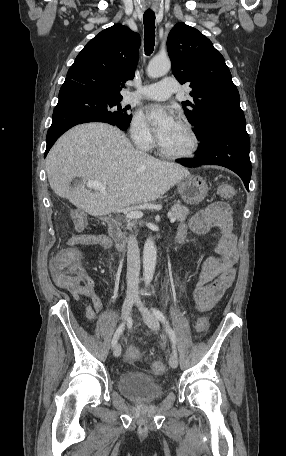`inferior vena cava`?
Returning <instances> with one entry per match:
<instances>
[{
  "label": "inferior vena cava",
  "instance_id": "obj_1",
  "mask_svg": "<svg viewBox=\"0 0 286 456\" xmlns=\"http://www.w3.org/2000/svg\"><path fill=\"white\" fill-rule=\"evenodd\" d=\"M140 273V251L134 235L127 241V296H138V284Z\"/></svg>",
  "mask_w": 286,
  "mask_h": 456
}]
</instances>
